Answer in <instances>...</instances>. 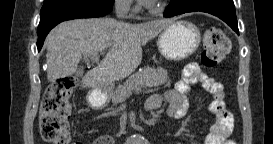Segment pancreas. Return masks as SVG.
Wrapping results in <instances>:
<instances>
[{"instance_id":"obj_1","label":"pancreas","mask_w":273,"mask_h":144,"mask_svg":"<svg viewBox=\"0 0 273 144\" xmlns=\"http://www.w3.org/2000/svg\"><path fill=\"white\" fill-rule=\"evenodd\" d=\"M168 80V73L162 67H145L130 76L123 85H119L112 92L113 103L124 102L133 91H140L144 87H158Z\"/></svg>"}]
</instances>
